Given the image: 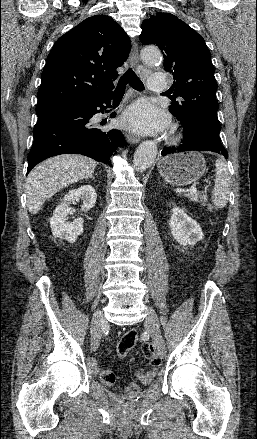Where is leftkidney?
<instances>
[{
	"mask_svg": "<svg viewBox=\"0 0 257 439\" xmlns=\"http://www.w3.org/2000/svg\"><path fill=\"white\" fill-rule=\"evenodd\" d=\"M169 225L173 238L182 246H193L203 239L201 227L179 207L173 208Z\"/></svg>",
	"mask_w": 257,
	"mask_h": 439,
	"instance_id": "obj_1",
	"label": "left kidney"
}]
</instances>
